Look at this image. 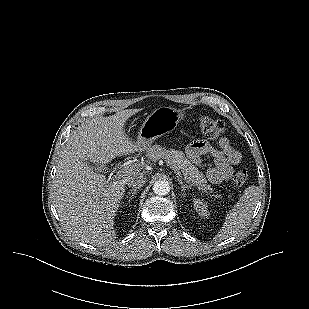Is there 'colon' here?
I'll return each mask as SVG.
<instances>
[{
    "mask_svg": "<svg viewBox=\"0 0 309 309\" xmlns=\"http://www.w3.org/2000/svg\"><path fill=\"white\" fill-rule=\"evenodd\" d=\"M199 126L201 130L212 139H221L225 132V126L223 122L207 116L199 117ZM247 179L248 172L246 169H240L234 176V182L238 186L245 184Z\"/></svg>",
    "mask_w": 309,
    "mask_h": 309,
    "instance_id": "5ec220e1",
    "label": "colon"
}]
</instances>
